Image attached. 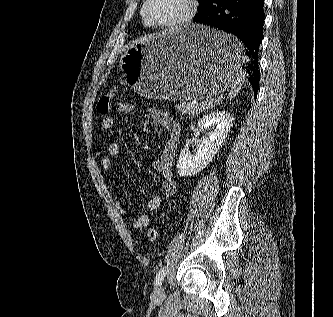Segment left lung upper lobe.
<instances>
[{
  "mask_svg": "<svg viewBox=\"0 0 333 317\" xmlns=\"http://www.w3.org/2000/svg\"><path fill=\"white\" fill-rule=\"evenodd\" d=\"M211 0H198L199 7H198V13H201L205 10V8L209 5Z\"/></svg>",
  "mask_w": 333,
  "mask_h": 317,
  "instance_id": "5c2ea615",
  "label": "left lung upper lobe"
}]
</instances>
